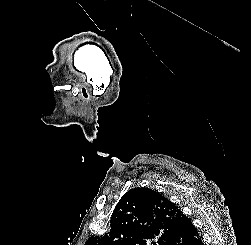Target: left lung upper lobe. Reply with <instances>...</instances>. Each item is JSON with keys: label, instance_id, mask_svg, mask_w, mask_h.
Listing matches in <instances>:
<instances>
[{"label": "left lung upper lobe", "instance_id": "5c2ea615", "mask_svg": "<svg viewBox=\"0 0 251 245\" xmlns=\"http://www.w3.org/2000/svg\"><path fill=\"white\" fill-rule=\"evenodd\" d=\"M184 214L155 190L137 187L126 192L115 207L110 231L85 245H165L185 225Z\"/></svg>", "mask_w": 251, "mask_h": 245}]
</instances>
